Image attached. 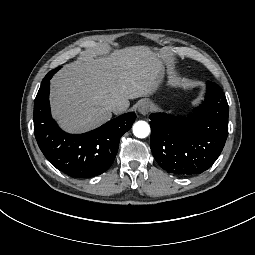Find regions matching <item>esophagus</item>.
<instances>
[{
	"mask_svg": "<svg viewBox=\"0 0 255 255\" xmlns=\"http://www.w3.org/2000/svg\"><path fill=\"white\" fill-rule=\"evenodd\" d=\"M150 105H149V102L147 100H143L140 102L139 104V108H138V111L140 114L142 115H146L150 112Z\"/></svg>",
	"mask_w": 255,
	"mask_h": 255,
	"instance_id": "obj_1",
	"label": "esophagus"
}]
</instances>
